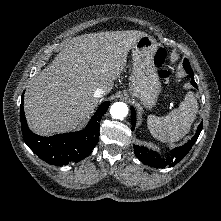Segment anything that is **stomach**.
Wrapping results in <instances>:
<instances>
[{
    "instance_id": "obj_1",
    "label": "stomach",
    "mask_w": 221,
    "mask_h": 221,
    "mask_svg": "<svg viewBox=\"0 0 221 221\" xmlns=\"http://www.w3.org/2000/svg\"><path fill=\"white\" fill-rule=\"evenodd\" d=\"M158 43L147 34L135 42L132 48L133 71L129 94L136 97L146 108H152L161 92V82L154 65Z\"/></svg>"
}]
</instances>
